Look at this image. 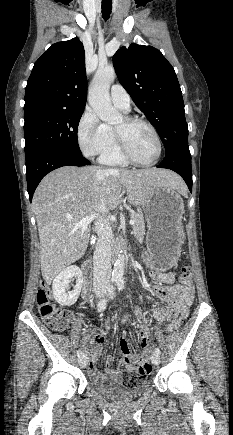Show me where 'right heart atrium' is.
Returning <instances> with one entry per match:
<instances>
[{
    "label": "right heart atrium",
    "instance_id": "d8ad5b80",
    "mask_svg": "<svg viewBox=\"0 0 233 435\" xmlns=\"http://www.w3.org/2000/svg\"><path fill=\"white\" fill-rule=\"evenodd\" d=\"M77 141L88 157L101 155L108 146L106 125L90 108L85 109L78 122Z\"/></svg>",
    "mask_w": 233,
    "mask_h": 435
}]
</instances>
